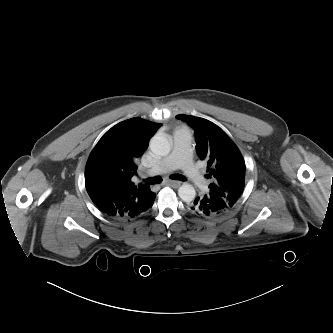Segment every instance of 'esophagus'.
<instances>
[{
    "label": "esophagus",
    "mask_w": 333,
    "mask_h": 333,
    "mask_svg": "<svg viewBox=\"0 0 333 333\" xmlns=\"http://www.w3.org/2000/svg\"><path fill=\"white\" fill-rule=\"evenodd\" d=\"M163 184L174 188H178L180 186L179 181H173V180H166L164 181Z\"/></svg>",
    "instance_id": "1"
}]
</instances>
